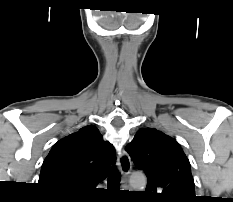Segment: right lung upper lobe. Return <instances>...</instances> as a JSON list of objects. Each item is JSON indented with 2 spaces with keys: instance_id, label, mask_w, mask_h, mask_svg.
<instances>
[{
  "instance_id": "1",
  "label": "right lung upper lobe",
  "mask_w": 233,
  "mask_h": 202,
  "mask_svg": "<svg viewBox=\"0 0 233 202\" xmlns=\"http://www.w3.org/2000/svg\"><path fill=\"white\" fill-rule=\"evenodd\" d=\"M115 161L114 147L95 126H86L52 147L38 184L57 196H85L106 178Z\"/></svg>"
}]
</instances>
